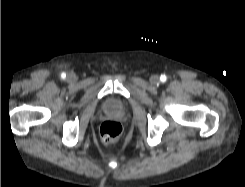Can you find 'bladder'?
Segmentation results:
<instances>
[{"label": "bladder", "instance_id": "bladder-1", "mask_svg": "<svg viewBox=\"0 0 245 187\" xmlns=\"http://www.w3.org/2000/svg\"><path fill=\"white\" fill-rule=\"evenodd\" d=\"M125 109V104L118 99L110 98L104 102V110L108 113L120 114L123 113Z\"/></svg>", "mask_w": 245, "mask_h": 187}]
</instances>
